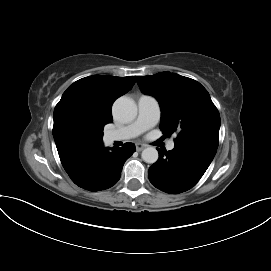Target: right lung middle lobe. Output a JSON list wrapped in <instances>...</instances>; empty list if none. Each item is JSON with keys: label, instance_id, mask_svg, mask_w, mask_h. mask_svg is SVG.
Instances as JSON below:
<instances>
[{"label": "right lung middle lobe", "instance_id": "right-lung-middle-lobe-1", "mask_svg": "<svg viewBox=\"0 0 271 271\" xmlns=\"http://www.w3.org/2000/svg\"><path fill=\"white\" fill-rule=\"evenodd\" d=\"M99 131L101 132V134H103V127H101Z\"/></svg>", "mask_w": 271, "mask_h": 271}]
</instances>
